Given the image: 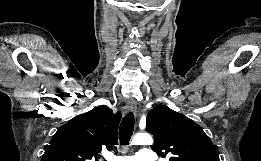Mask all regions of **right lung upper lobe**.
<instances>
[{
    "label": "right lung upper lobe",
    "mask_w": 261,
    "mask_h": 161,
    "mask_svg": "<svg viewBox=\"0 0 261 161\" xmlns=\"http://www.w3.org/2000/svg\"><path fill=\"white\" fill-rule=\"evenodd\" d=\"M120 119L105 105L74 117L57 130L41 161H97L102 148L117 144Z\"/></svg>",
    "instance_id": "right-lung-upper-lobe-1"
}]
</instances>
